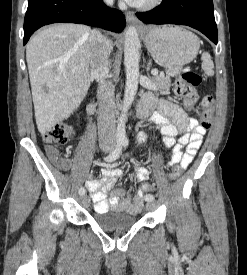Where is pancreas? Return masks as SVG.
Here are the masks:
<instances>
[{"label": "pancreas", "mask_w": 247, "mask_h": 275, "mask_svg": "<svg viewBox=\"0 0 247 275\" xmlns=\"http://www.w3.org/2000/svg\"><path fill=\"white\" fill-rule=\"evenodd\" d=\"M153 81L155 85L163 91V93L167 92L171 86V80L169 76H154Z\"/></svg>", "instance_id": "obj_1"}]
</instances>
